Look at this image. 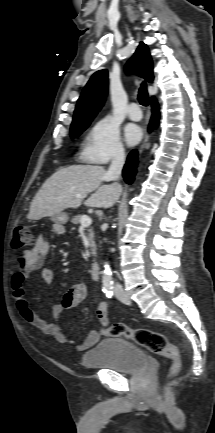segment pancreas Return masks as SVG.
Instances as JSON below:
<instances>
[{
	"label": "pancreas",
	"instance_id": "pancreas-1",
	"mask_svg": "<svg viewBox=\"0 0 215 433\" xmlns=\"http://www.w3.org/2000/svg\"><path fill=\"white\" fill-rule=\"evenodd\" d=\"M82 217L83 216H81V215H77L71 219V222L75 225L80 224ZM87 231H88V241H89L90 251H91V254L93 256H95L96 255V246H95V241H94V232L92 229H88Z\"/></svg>",
	"mask_w": 215,
	"mask_h": 433
}]
</instances>
